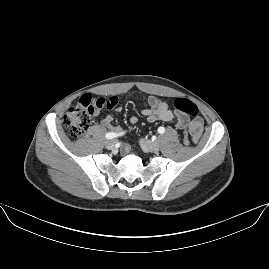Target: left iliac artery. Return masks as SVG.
Wrapping results in <instances>:
<instances>
[{
    "instance_id": "1",
    "label": "left iliac artery",
    "mask_w": 269,
    "mask_h": 269,
    "mask_svg": "<svg viewBox=\"0 0 269 269\" xmlns=\"http://www.w3.org/2000/svg\"><path fill=\"white\" fill-rule=\"evenodd\" d=\"M158 132H159L160 134H163V133L165 132V128H164V127H159V128H158Z\"/></svg>"
}]
</instances>
